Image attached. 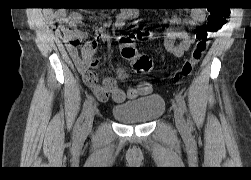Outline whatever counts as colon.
Returning a JSON list of instances; mask_svg holds the SVG:
<instances>
[{
  "label": "colon",
  "mask_w": 251,
  "mask_h": 180,
  "mask_svg": "<svg viewBox=\"0 0 251 180\" xmlns=\"http://www.w3.org/2000/svg\"><path fill=\"white\" fill-rule=\"evenodd\" d=\"M228 14L229 12L226 9L209 10L206 24L196 32L195 46L190 56L184 61L182 67L176 74V81H180L192 75L194 69L208 49L212 33L221 29L228 19ZM149 37V33H144L141 30L130 31L118 37L121 57L128 60L133 69L139 73H149L152 70V61L147 55L138 53L134 44L135 41L139 39Z\"/></svg>",
  "instance_id": "5ec220e1"
}]
</instances>
